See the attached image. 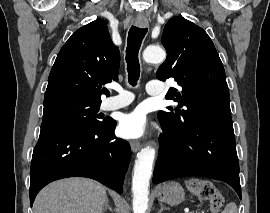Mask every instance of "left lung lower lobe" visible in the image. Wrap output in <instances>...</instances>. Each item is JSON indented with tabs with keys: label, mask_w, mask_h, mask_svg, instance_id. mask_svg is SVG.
I'll return each instance as SVG.
<instances>
[{
	"label": "left lung lower lobe",
	"mask_w": 270,
	"mask_h": 213,
	"mask_svg": "<svg viewBox=\"0 0 270 213\" xmlns=\"http://www.w3.org/2000/svg\"><path fill=\"white\" fill-rule=\"evenodd\" d=\"M161 125L153 183L186 176L207 177L228 183L241 199L233 125L197 122L184 131L164 122Z\"/></svg>",
	"instance_id": "0a47b994"
}]
</instances>
